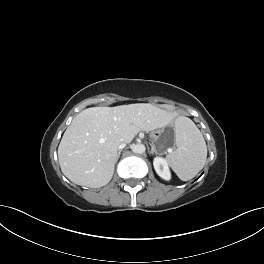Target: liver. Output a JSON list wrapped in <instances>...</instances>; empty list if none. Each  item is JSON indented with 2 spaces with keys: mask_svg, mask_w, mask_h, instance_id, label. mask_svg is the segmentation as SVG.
<instances>
[{
  "mask_svg": "<svg viewBox=\"0 0 264 264\" xmlns=\"http://www.w3.org/2000/svg\"><path fill=\"white\" fill-rule=\"evenodd\" d=\"M173 116L152 104L136 103L83 110L66 129L58 147L62 173L90 188L112 178L121 141L130 143L140 132L167 126Z\"/></svg>",
  "mask_w": 264,
  "mask_h": 264,
  "instance_id": "liver-1",
  "label": "liver"
}]
</instances>
